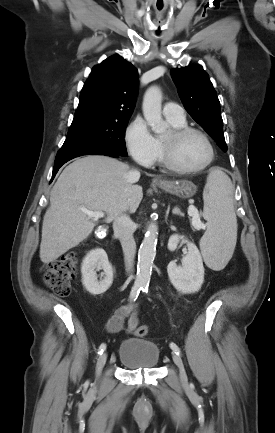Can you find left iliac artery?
I'll return each mask as SVG.
<instances>
[{
    "label": "left iliac artery",
    "mask_w": 275,
    "mask_h": 433,
    "mask_svg": "<svg viewBox=\"0 0 275 433\" xmlns=\"http://www.w3.org/2000/svg\"><path fill=\"white\" fill-rule=\"evenodd\" d=\"M142 291L147 292L148 291V285H144L142 287ZM170 348L178 355L181 353L180 348L175 343H170Z\"/></svg>",
    "instance_id": "44dca946"
}]
</instances>
